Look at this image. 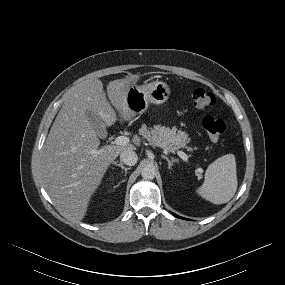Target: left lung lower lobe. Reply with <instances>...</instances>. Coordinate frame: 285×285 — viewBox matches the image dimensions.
I'll return each mask as SVG.
<instances>
[{"mask_svg": "<svg viewBox=\"0 0 285 285\" xmlns=\"http://www.w3.org/2000/svg\"><path fill=\"white\" fill-rule=\"evenodd\" d=\"M174 216H176V217H178V218H182V217H180V216H178V215H176V214H173ZM182 219H184V218H182Z\"/></svg>", "mask_w": 285, "mask_h": 285, "instance_id": "1", "label": "left lung lower lobe"}]
</instances>
